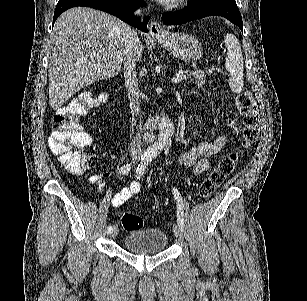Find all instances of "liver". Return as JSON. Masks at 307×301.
<instances>
[{"label": "liver", "mask_w": 307, "mask_h": 301, "mask_svg": "<svg viewBox=\"0 0 307 301\" xmlns=\"http://www.w3.org/2000/svg\"><path fill=\"white\" fill-rule=\"evenodd\" d=\"M128 24L102 10L74 6L58 16L50 38L49 104L60 108L68 98L95 80L121 72ZM135 60L143 44L133 40Z\"/></svg>", "instance_id": "6515ba94"}]
</instances>
